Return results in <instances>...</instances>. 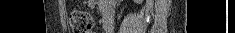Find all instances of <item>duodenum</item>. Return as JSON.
I'll return each mask as SVG.
<instances>
[{"label": "duodenum", "instance_id": "1", "mask_svg": "<svg viewBox=\"0 0 235 33\" xmlns=\"http://www.w3.org/2000/svg\"><path fill=\"white\" fill-rule=\"evenodd\" d=\"M112 21L110 19L106 20L104 23V29L106 33H109L111 31L112 28Z\"/></svg>", "mask_w": 235, "mask_h": 33}]
</instances>
